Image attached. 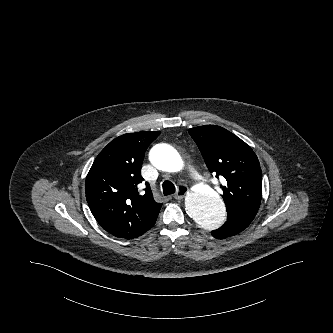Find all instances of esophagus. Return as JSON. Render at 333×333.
<instances>
[{"label": "esophagus", "instance_id": "obj_1", "mask_svg": "<svg viewBox=\"0 0 333 333\" xmlns=\"http://www.w3.org/2000/svg\"><path fill=\"white\" fill-rule=\"evenodd\" d=\"M189 189L185 185H180L178 191L174 194V198L177 200L182 199L187 193Z\"/></svg>", "mask_w": 333, "mask_h": 333}]
</instances>
